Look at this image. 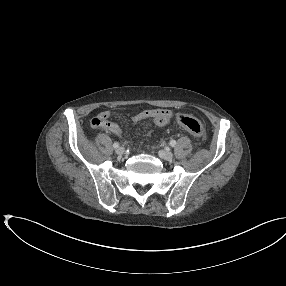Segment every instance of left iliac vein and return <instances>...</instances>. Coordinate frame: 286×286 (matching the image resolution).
Masks as SVG:
<instances>
[{"mask_svg": "<svg viewBox=\"0 0 286 286\" xmlns=\"http://www.w3.org/2000/svg\"><path fill=\"white\" fill-rule=\"evenodd\" d=\"M159 156L160 158L164 159V160H167V161H170L173 159L174 155L172 152L170 151H160L159 152Z\"/></svg>", "mask_w": 286, "mask_h": 286, "instance_id": "left-iliac-vein-1", "label": "left iliac vein"}]
</instances>
